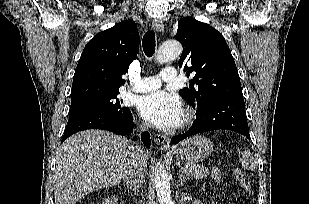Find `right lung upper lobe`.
Here are the masks:
<instances>
[{"instance_id": "cb5924a9", "label": "right lung upper lobe", "mask_w": 309, "mask_h": 204, "mask_svg": "<svg viewBox=\"0 0 309 204\" xmlns=\"http://www.w3.org/2000/svg\"><path fill=\"white\" fill-rule=\"evenodd\" d=\"M139 49L137 25L124 20L97 33L85 46L75 70L71 104L119 91Z\"/></svg>"}]
</instances>
